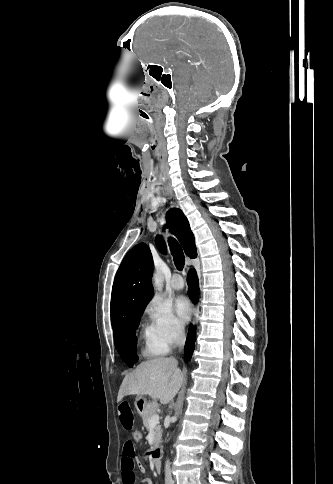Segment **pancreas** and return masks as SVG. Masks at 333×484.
<instances>
[{
    "label": "pancreas",
    "mask_w": 333,
    "mask_h": 484,
    "mask_svg": "<svg viewBox=\"0 0 333 484\" xmlns=\"http://www.w3.org/2000/svg\"><path fill=\"white\" fill-rule=\"evenodd\" d=\"M158 407V403L156 401H152L148 404L147 409L142 414L143 425L147 430L150 429L149 419L157 413ZM154 435L153 447H156L161 443L162 439V429L160 425H156L154 427Z\"/></svg>",
    "instance_id": "cf45deb5"
}]
</instances>
